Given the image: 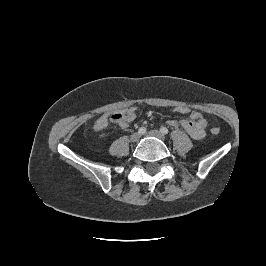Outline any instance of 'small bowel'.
<instances>
[{
    "label": "small bowel",
    "mask_w": 266,
    "mask_h": 266,
    "mask_svg": "<svg viewBox=\"0 0 266 266\" xmlns=\"http://www.w3.org/2000/svg\"><path fill=\"white\" fill-rule=\"evenodd\" d=\"M108 114L101 115L94 123V129L96 131H101L105 129L108 125ZM134 119L131 118L127 121L122 122L120 125L121 128H127L130 122ZM169 125L173 127L181 126L184 130L195 140H200L205 137V127L206 120L199 112H192L190 114V119L183 120H170Z\"/></svg>",
    "instance_id": "obj_1"
}]
</instances>
